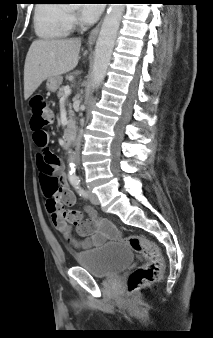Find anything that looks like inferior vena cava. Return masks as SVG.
<instances>
[{
  "mask_svg": "<svg viewBox=\"0 0 213 338\" xmlns=\"http://www.w3.org/2000/svg\"><path fill=\"white\" fill-rule=\"evenodd\" d=\"M75 144H76V151H77V153H79L80 146H81V136L80 135L77 136Z\"/></svg>",
  "mask_w": 213,
  "mask_h": 338,
  "instance_id": "inferior-vena-cava-1",
  "label": "inferior vena cava"
}]
</instances>
